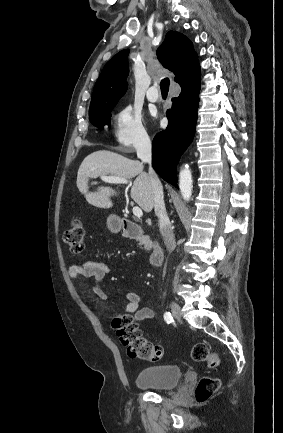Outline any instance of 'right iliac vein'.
<instances>
[{
    "label": "right iliac vein",
    "mask_w": 283,
    "mask_h": 433,
    "mask_svg": "<svg viewBox=\"0 0 283 433\" xmlns=\"http://www.w3.org/2000/svg\"><path fill=\"white\" fill-rule=\"evenodd\" d=\"M171 309H172V314H173L174 318L177 320H180L181 310H180L179 305L175 302H171Z\"/></svg>",
    "instance_id": "63e3f726"
}]
</instances>
